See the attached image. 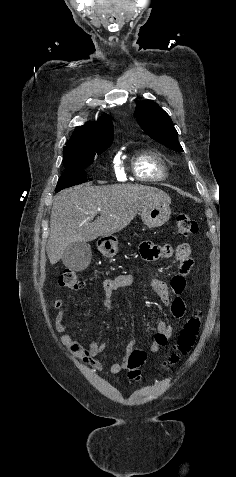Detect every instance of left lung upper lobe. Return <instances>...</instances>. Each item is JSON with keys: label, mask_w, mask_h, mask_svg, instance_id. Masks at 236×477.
I'll return each mask as SVG.
<instances>
[{"label": "left lung upper lobe", "mask_w": 236, "mask_h": 477, "mask_svg": "<svg viewBox=\"0 0 236 477\" xmlns=\"http://www.w3.org/2000/svg\"><path fill=\"white\" fill-rule=\"evenodd\" d=\"M136 119L141 128L152 139L174 151H183L171 118L157 103L151 100L138 103Z\"/></svg>", "instance_id": "1"}]
</instances>
